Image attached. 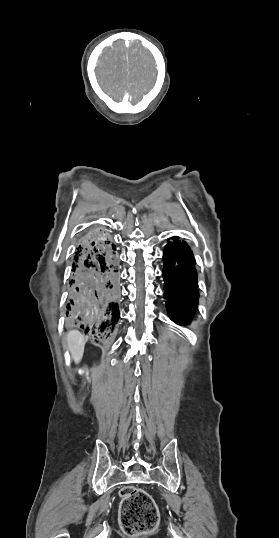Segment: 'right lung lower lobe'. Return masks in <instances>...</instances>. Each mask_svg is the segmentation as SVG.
Wrapping results in <instances>:
<instances>
[{
    "mask_svg": "<svg viewBox=\"0 0 279 538\" xmlns=\"http://www.w3.org/2000/svg\"><path fill=\"white\" fill-rule=\"evenodd\" d=\"M73 260L66 325L90 335L112 330L119 319L121 294L111 234L91 229L80 239Z\"/></svg>",
    "mask_w": 279,
    "mask_h": 538,
    "instance_id": "right-lung-lower-lobe-1",
    "label": "right lung lower lobe"
}]
</instances>
